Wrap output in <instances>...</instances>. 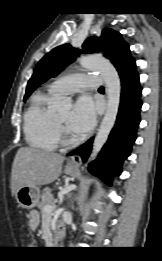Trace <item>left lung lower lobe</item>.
I'll return each mask as SVG.
<instances>
[{
  "label": "left lung lower lobe",
  "mask_w": 162,
  "mask_h": 261,
  "mask_svg": "<svg viewBox=\"0 0 162 261\" xmlns=\"http://www.w3.org/2000/svg\"><path fill=\"white\" fill-rule=\"evenodd\" d=\"M118 74L122 90L116 123L98 158L88 168L92 174L100 177L108 185H111L113 176L120 175L122 163L130 155L136 140L142 106V88L135 61L123 67ZM92 141L93 138L68 153V156L80 155L83 161H86L90 155Z\"/></svg>",
  "instance_id": "0a47b994"
}]
</instances>
